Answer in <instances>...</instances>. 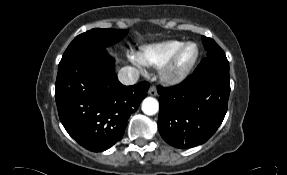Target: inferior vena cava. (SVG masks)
I'll use <instances>...</instances> for the list:
<instances>
[{
	"mask_svg": "<svg viewBox=\"0 0 287 175\" xmlns=\"http://www.w3.org/2000/svg\"><path fill=\"white\" fill-rule=\"evenodd\" d=\"M139 79V70L126 66L119 70L118 72V80L124 85H133Z\"/></svg>",
	"mask_w": 287,
	"mask_h": 175,
	"instance_id": "obj_1",
	"label": "inferior vena cava"
}]
</instances>
